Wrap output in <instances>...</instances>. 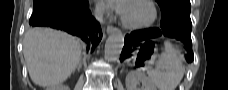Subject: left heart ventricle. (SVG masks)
Listing matches in <instances>:
<instances>
[{
    "instance_id": "obj_1",
    "label": "left heart ventricle",
    "mask_w": 228,
    "mask_h": 90,
    "mask_svg": "<svg viewBox=\"0 0 228 90\" xmlns=\"http://www.w3.org/2000/svg\"><path fill=\"white\" fill-rule=\"evenodd\" d=\"M150 7L141 1L126 4L123 17L132 24H140L146 22L151 17Z\"/></svg>"
}]
</instances>
